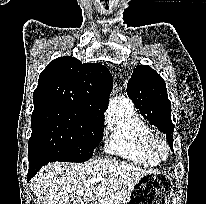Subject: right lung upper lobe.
<instances>
[{"mask_svg":"<svg viewBox=\"0 0 206 204\" xmlns=\"http://www.w3.org/2000/svg\"><path fill=\"white\" fill-rule=\"evenodd\" d=\"M112 86V75L105 66L59 57L41 72L33 103L68 105L104 115Z\"/></svg>","mask_w":206,"mask_h":204,"instance_id":"1","label":"right lung upper lobe"}]
</instances>
